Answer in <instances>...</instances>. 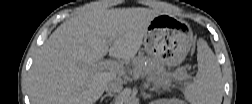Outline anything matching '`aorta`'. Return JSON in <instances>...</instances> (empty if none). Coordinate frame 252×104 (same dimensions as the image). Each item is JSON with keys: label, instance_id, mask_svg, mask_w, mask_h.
I'll return each mask as SVG.
<instances>
[{"label": "aorta", "instance_id": "obj_1", "mask_svg": "<svg viewBox=\"0 0 252 104\" xmlns=\"http://www.w3.org/2000/svg\"><path fill=\"white\" fill-rule=\"evenodd\" d=\"M124 100H125V102H127V103H132V102H134V101H133V98L130 97V95H125Z\"/></svg>", "mask_w": 252, "mask_h": 104}]
</instances>
